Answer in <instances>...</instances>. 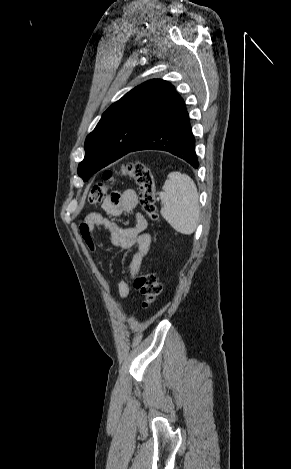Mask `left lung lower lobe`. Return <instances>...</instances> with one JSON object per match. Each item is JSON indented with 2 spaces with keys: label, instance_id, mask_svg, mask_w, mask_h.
<instances>
[{
  "label": "left lung lower lobe",
  "instance_id": "obj_1",
  "mask_svg": "<svg viewBox=\"0 0 291 469\" xmlns=\"http://www.w3.org/2000/svg\"><path fill=\"white\" fill-rule=\"evenodd\" d=\"M148 149L168 151L185 160L194 168H198L195 139L184 101L160 125L145 135L124 155Z\"/></svg>",
  "mask_w": 291,
  "mask_h": 469
}]
</instances>
